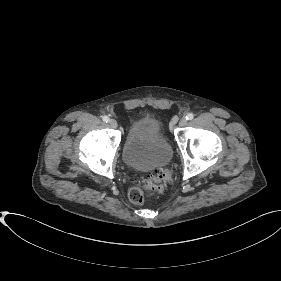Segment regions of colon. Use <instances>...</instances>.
Segmentation results:
<instances>
[{"instance_id":"5ec220e1","label":"colon","mask_w":281,"mask_h":281,"mask_svg":"<svg viewBox=\"0 0 281 281\" xmlns=\"http://www.w3.org/2000/svg\"><path fill=\"white\" fill-rule=\"evenodd\" d=\"M171 183V173L167 169H160L147 178H142L138 185L129 190V199L133 204H143L146 193L150 191H164Z\"/></svg>"}]
</instances>
